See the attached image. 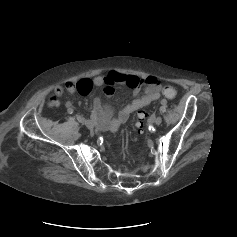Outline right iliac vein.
Returning <instances> with one entry per match:
<instances>
[{
	"label": "right iliac vein",
	"mask_w": 237,
	"mask_h": 237,
	"mask_svg": "<svg viewBox=\"0 0 237 237\" xmlns=\"http://www.w3.org/2000/svg\"><path fill=\"white\" fill-rule=\"evenodd\" d=\"M86 127L89 129V130H93L94 129V124L91 122V121H86L85 123Z\"/></svg>",
	"instance_id": "obj_1"
}]
</instances>
